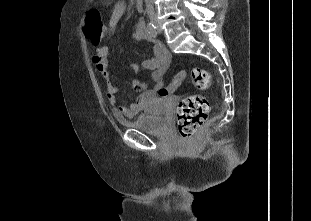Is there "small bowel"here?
<instances>
[{
	"instance_id": "obj_1",
	"label": "small bowel",
	"mask_w": 311,
	"mask_h": 221,
	"mask_svg": "<svg viewBox=\"0 0 311 221\" xmlns=\"http://www.w3.org/2000/svg\"><path fill=\"white\" fill-rule=\"evenodd\" d=\"M125 10L126 4L124 1H117L113 5L105 33L112 34L115 32L118 23L125 13ZM140 21L141 20H138L135 24L134 38L138 41L149 39L146 28L140 26ZM152 44L154 58L146 60L141 64L132 65V68L136 71L140 69L150 70V76L154 85L152 88H148L146 82L138 79L132 80L131 86L136 91H139L140 94L128 108H125L118 103V88L113 83L114 73L109 66V48L107 46H101L96 50L93 61L105 82L107 100L113 111V115L117 120L131 118L137 115L141 112L146 103L155 97L159 90L163 87V77L172 61V55L161 42L152 41Z\"/></svg>"
}]
</instances>
